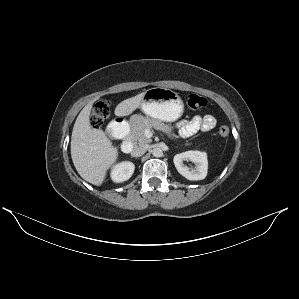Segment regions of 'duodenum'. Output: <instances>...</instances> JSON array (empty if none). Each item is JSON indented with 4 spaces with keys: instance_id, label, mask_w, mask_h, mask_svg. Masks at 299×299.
Returning a JSON list of instances; mask_svg holds the SVG:
<instances>
[{
    "instance_id": "1",
    "label": "duodenum",
    "mask_w": 299,
    "mask_h": 299,
    "mask_svg": "<svg viewBox=\"0 0 299 299\" xmlns=\"http://www.w3.org/2000/svg\"><path fill=\"white\" fill-rule=\"evenodd\" d=\"M127 125L126 123L123 121V119H117L115 121H113L109 127H108V133L110 135H124L127 133ZM134 148V144L133 142L128 139V138H124L122 143H121V150L124 153H130Z\"/></svg>"
}]
</instances>
